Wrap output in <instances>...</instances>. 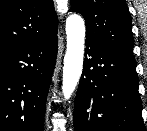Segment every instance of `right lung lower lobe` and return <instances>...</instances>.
Returning <instances> with one entry per match:
<instances>
[{"instance_id":"right-lung-lower-lobe-1","label":"right lung lower lobe","mask_w":147,"mask_h":131,"mask_svg":"<svg viewBox=\"0 0 147 131\" xmlns=\"http://www.w3.org/2000/svg\"><path fill=\"white\" fill-rule=\"evenodd\" d=\"M57 51L56 32L0 55V131H44Z\"/></svg>"}]
</instances>
